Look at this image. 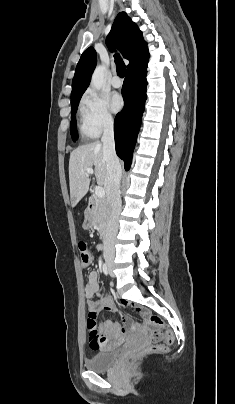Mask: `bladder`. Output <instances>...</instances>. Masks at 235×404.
Segmentation results:
<instances>
[{"mask_svg": "<svg viewBox=\"0 0 235 404\" xmlns=\"http://www.w3.org/2000/svg\"><path fill=\"white\" fill-rule=\"evenodd\" d=\"M121 350L119 346H104L86 360V366L95 372H106L120 359Z\"/></svg>", "mask_w": 235, "mask_h": 404, "instance_id": "31cf9c89", "label": "bladder"}]
</instances>
